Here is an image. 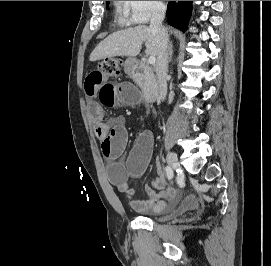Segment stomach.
<instances>
[{
  "mask_svg": "<svg viewBox=\"0 0 271 266\" xmlns=\"http://www.w3.org/2000/svg\"><path fill=\"white\" fill-rule=\"evenodd\" d=\"M134 64V59L132 58H129L127 61H126V66L128 67V69Z\"/></svg>",
  "mask_w": 271,
  "mask_h": 266,
  "instance_id": "obj_1",
  "label": "stomach"
}]
</instances>
